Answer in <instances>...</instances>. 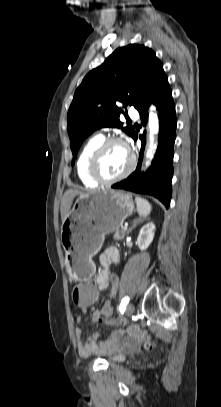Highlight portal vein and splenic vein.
Listing matches in <instances>:
<instances>
[{
  "label": "portal vein and splenic vein",
  "instance_id": "18ae733b",
  "mask_svg": "<svg viewBox=\"0 0 221 407\" xmlns=\"http://www.w3.org/2000/svg\"><path fill=\"white\" fill-rule=\"evenodd\" d=\"M123 229H124V230H127V225H125V226L123 227Z\"/></svg>",
  "mask_w": 221,
  "mask_h": 407
}]
</instances>
